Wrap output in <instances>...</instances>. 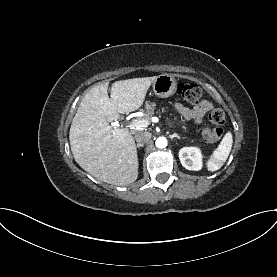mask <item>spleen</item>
I'll return each mask as SVG.
<instances>
[{
    "mask_svg": "<svg viewBox=\"0 0 277 277\" xmlns=\"http://www.w3.org/2000/svg\"><path fill=\"white\" fill-rule=\"evenodd\" d=\"M232 145L233 136L231 132L228 131L207 161V168L209 171H217L223 166L231 152Z\"/></svg>",
    "mask_w": 277,
    "mask_h": 277,
    "instance_id": "1",
    "label": "spleen"
}]
</instances>
